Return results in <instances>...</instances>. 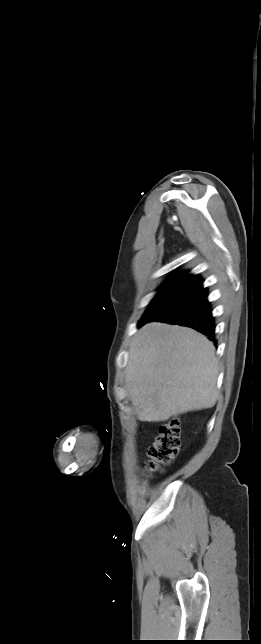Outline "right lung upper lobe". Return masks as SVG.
Masks as SVG:
<instances>
[{
    "label": "right lung upper lobe",
    "instance_id": "right-lung-upper-lobe-1",
    "mask_svg": "<svg viewBox=\"0 0 261 644\" xmlns=\"http://www.w3.org/2000/svg\"><path fill=\"white\" fill-rule=\"evenodd\" d=\"M168 281H184L201 285L203 282V280L198 275H187V272L175 274L171 278H169Z\"/></svg>",
    "mask_w": 261,
    "mask_h": 644
}]
</instances>
